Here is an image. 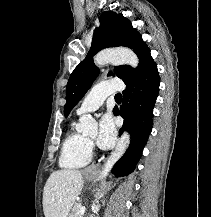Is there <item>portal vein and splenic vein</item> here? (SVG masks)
I'll return each instance as SVG.
<instances>
[{
    "label": "portal vein and splenic vein",
    "instance_id": "portal-vein-and-splenic-vein-1",
    "mask_svg": "<svg viewBox=\"0 0 211 217\" xmlns=\"http://www.w3.org/2000/svg\"><path fill=\"white\" fill-rule=\"evenodd\" d=\"M85 210H86V207L85 206H82L80 208V214L83 215L85 213Z\"/></svg>",
    "mask_w": 211,
    "mask_h": 217
}]
</instances>
